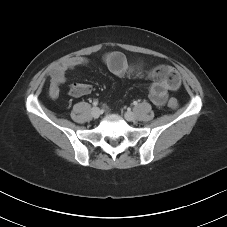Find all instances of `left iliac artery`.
Returning a JSON list of instances; mask_svg holds the SVG:
<instances>
[{
	"label": "left iliac artery",
	"mask_w": 227,
	"mask_h": 227,
	"mask_svg": "<svg viewBox=\"0 0 227 227\" xmlns=\"http://www.w3.org/2000/svg\"><path fill=\"white\" fill-rule=\"evenodd\" d=\"M137 104H138L137 101H134V102H133V105H137Z\"/></svg>",
	"instance_id": "1"
}]
</instances>
